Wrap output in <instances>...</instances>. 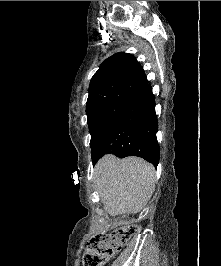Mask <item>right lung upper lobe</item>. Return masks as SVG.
Here are the masks:
<instances>
[{"label": "right lung upper lobe", "mask_w": 221, "mask_h": 266, "mask_svg": "<svg viewBox=\"0 0 221 266\" xmlns=\"http://www.w3.org/2000/svg\"><path fill=\"white\" fill-rule=\"evenodd\" d=\"M145 72L133 55L120 52L107 58L91 79L89 94L117 86H140L148 84Z\"/></svg>", "instance_id": "right-lung-upper-lobe-1"}]
</instances>
